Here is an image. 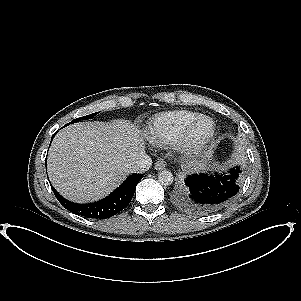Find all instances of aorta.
Wrapping results in <instances>:
<instances>
[{
	"label": "aorta",
	"mask_w": 301,
	"mask_h": 301,
	"mask_svg": "<svg viewBox=\"0 0 301 301\" xmlns=\"http://www.w3.org/2000/svg\"><path fill=\"white\" fill-rule=\"evenodd\" d=\"M173 179V174L168 170H163L158 174V181L161 185H171L173 183Z\"/></svg>",
	"instance_id": "1"
}]
</instances>
